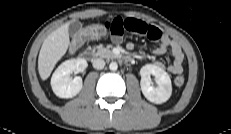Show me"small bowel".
Masks as SVG:
<instances>
[{
    "label": "small bowel",
    "mask_w": 231,
    "mask_h": 134,
    "mask_svg": "<svg viewBox=\"0 0 231 134\" xmlns=\"http://www.w3.org/2000/svg\"><path fill=\"white\" fill-rule=\"evenodd\" d=\"M108 30L111 41L119 44L125 31L143 35L152 40L159 41V45L152 50L156 55H162L170 51L172 61L166 66L169 73L177 75L183 71L184 54L180 45L168 35L164 34L158 27L148 24L140 19L120 16L105 21L102 24ZM155 66L164 67L161 62H155Z\"/></svg>",
    "instance_id": "obj_1"
}]
</instances>
